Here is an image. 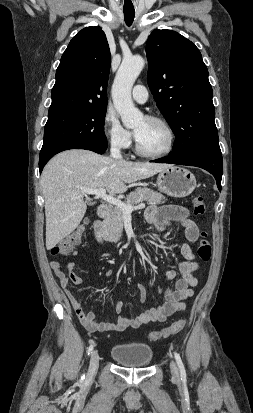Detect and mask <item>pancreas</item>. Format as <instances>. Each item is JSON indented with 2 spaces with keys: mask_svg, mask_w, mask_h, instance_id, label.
Instances as JSON below:
<instances>
[{
  "mask_svg": "<svg viewBox=\"0 0 253 413\" xmlns=\"http://www.w3.org/2000/svg\"><path fill=\"white\" fill-rule=\"evenodd\" d=\"M144 200L149 205L156 206L165 202V197L149 188H137L131 192L125 201L126 205H133L136 202ZM124 214L118 207L114 209L112 216L102 223V235L109 242L117 243L123 232Z\"/></svg>",
  "mask_w": 253,
  "mask_h": 413,
  "instance_id": "pancreas-1",
  "label": "pancreas"
}]
</instances>
